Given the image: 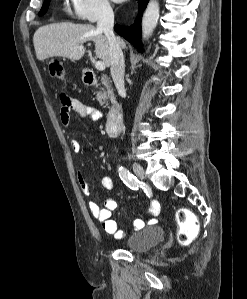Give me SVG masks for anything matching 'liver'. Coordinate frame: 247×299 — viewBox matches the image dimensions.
<instances>
[{"label": "liver", "instance_id": "6515ba94", "mask_svg": "<svg viewBox=\"0 0 247 299\" xmlns=\"http://www.w3.org/2000/svg\"><path fill=\"white\" fill-rule=\"evenodd\" d=\"M88 41L95 43L96 56L105 66H110L108 40L91 24L53 23L38 28L33 37L36 57L40 61L57 56L80 60L85 54L83 43ZM118 41L121 47H125L122 40Z\"/></svg>", "mask_w": 247, "mask_h": 299}]
</instances>
